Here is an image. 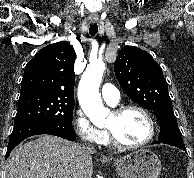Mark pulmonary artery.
<instances>
[{
    "mask_svg": "<svg viewBox=\"0 0 194 178\" xmlns=\"http://www.w3.org/2000/svg\"><path fill=\"white\" fill-rule=\"evenodd\" d=\"M101 94L104 101L110 105H117L120 101V94L118 89L110 83L103 85Z\"/></svg>",
    "mask_w": 194,
    "mask_h": 178,
    "instance_id": "obj_1",
    "label": "pulmonary artery"
}]
</instances>
